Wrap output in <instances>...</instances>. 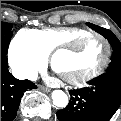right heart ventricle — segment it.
I'll return each mask as SVG.
<instances>
[{
	"label": "right heart ventricle",
	"instance_id": "right-heart-ventricle-1",
	"mask_svg": "<svg viewBox=\"0 0 121 121\" xmlns=\"http://www.w3.org/2000/svg\"><path fill=\"white\" fill-rule=\"evenodd\" d=\"M87 31L76 29L70 31L62 28L23 29L17 35L18 42L29 44L45 57L49 56L58 46H68Z\"/></svg>",
	"mask_w": 121,
	"mask_h": 121
}]
</instances>
